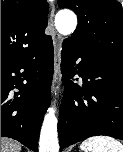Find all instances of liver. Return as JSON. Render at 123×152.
<instances>
[{
	"mask_svg": "<svg viewBox=\"0 0 123 152\" xmlns=\"http://www.w3.org/2000/svg\"><path fill=\"white\" fill-rule=\"evenodd\" d=\"M21 145L17 141L1 137V152H20Z\"/></svg>",
	"mask_w": 123,
	"mask_h": 152,
	"instance_id": "obj_1",
	"label": "liver"
}]
</instances>
